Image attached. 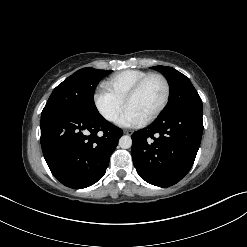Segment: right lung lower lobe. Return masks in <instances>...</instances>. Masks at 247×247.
<instances>
[{
    "instance_id": "1",
    "label": "right lung lower lobe",
    "mask_w": 247,
    "mask_h": 247,
    "mask_svg": "<svg viewBox=\"0 0 247 247\" xmlns=\"http://www.w3.org/2000/svg\"><path fill=\"white\" fill-rule=\"evenodd\" d=\"M121 136L122 130L99 113L58 109L41 115L44 158L55 178L73 189L102 178Z\"/></svg>"
}]
</instances>
